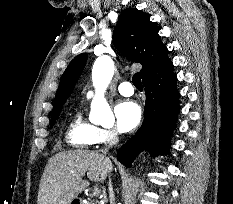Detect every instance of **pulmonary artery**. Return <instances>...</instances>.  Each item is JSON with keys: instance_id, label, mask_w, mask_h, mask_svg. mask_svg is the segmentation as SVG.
I'll use <instances>...</instances> for the list:
<instances>
[{"instance_id": "e3ab8cb5", "label": "pulmonary artery", "mask_w": 233, "mask_h": 204, "mask_svg": "<svg viewBox=\"0 0 233 204\" xmlns=\"http://www.w3.org/2000/svg\"><path fill=\"white\" fill-rule=\"evenodd\" d=\"M118 91L121 95L123 96H131L134 93V89L133 86L130 82L126 81V82H122L118 85ZM87 98H91L94 95V90L90 89L87 92Z\"/></svg>"}]
</instances>
